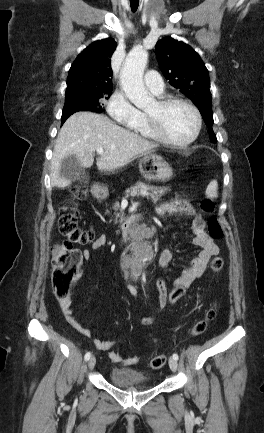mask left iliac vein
Instances as JSON below:
<instances>
[{"mask_svg":"<svg viewBox=\"0 0 264 433\" xmlns=\"http://www.w3.org/2000/svg\"><path fill=\"white\" fill-rule=\"evenodd\" d=\"M169 367L174 372L177 370L178 363L173 357L169 358Z\"/></svg>","mask_w":264,"mask_h":433,"instance_id":"left-iliac-vein-1","label":"left iliac vein"}]
</instances>
